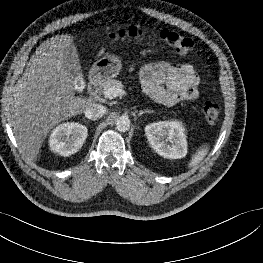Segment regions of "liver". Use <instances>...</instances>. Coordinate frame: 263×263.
Masks as SVG:
<instances>
[{
	"instance_id": "liver-1",
	"label": "liver",
	"mask_w": 263,
	"mask_h": 263,
	"mask_svg": "<svg viewBox=\"0 0 263 263\" xmlns=\"http://www.w3.org/2000/svg\"><path fill=\"white\" fill-rule=\"evenodd\" d=\"M71 35L43 42L30 58L11 100V122L19 149L36 160L47 134L60 122L83 112L92 102L75 97L74 80L64 67Z\"/></svg>"
}]
</instances>
